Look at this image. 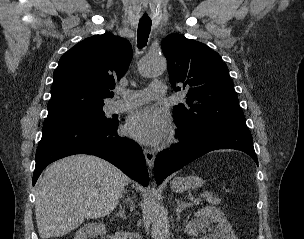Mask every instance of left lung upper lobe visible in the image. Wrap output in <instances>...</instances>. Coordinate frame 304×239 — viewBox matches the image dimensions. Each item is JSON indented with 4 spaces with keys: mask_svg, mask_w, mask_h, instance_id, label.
Instances as JSON below:
<instances>
[{
    "mask_svg": "<svg viewBox=\"0 0 304 239\" xmlns=\"http://www.w3.org/2000/svg\"><path fill=\"white\" fill-rule=\"evenodd\" d=\"M161 47L173 88L187 91L186 104L173 108L175 122L184 134L196 136L224 126L246 127L228 68L217 52L179 34L165 37Z\"/></svg>",
    "mask_w": 304,
    "mask_h": 239,
    "instance_id": "obj_1",
    "label": "left lung upper lobe"
}]
</instances>
